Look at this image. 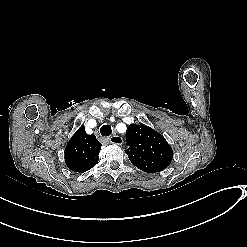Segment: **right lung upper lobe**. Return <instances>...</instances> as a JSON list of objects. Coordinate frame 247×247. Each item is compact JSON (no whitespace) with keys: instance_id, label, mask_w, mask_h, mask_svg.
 <instances>
[{"instance_id":"cb5924a9","label":"right lung upper lobe","mask_w":247,"mask_h":247,"mask_svg":"<svg viewBox=\"0 0 247 247\" xmlns=\"http://www.w3.org/2000/svg\"><path fill=\"white\" fill-rule=\"evenodd\" d=\"M101 144L94 135H88L81 126L69 140L64 154L65 162L72 171L82 173L94 167L99 158Z\"/></svg>"}]
</instances>
